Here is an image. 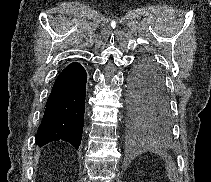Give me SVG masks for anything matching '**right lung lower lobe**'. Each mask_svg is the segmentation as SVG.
Listing matches in <instances>:
<instances>
[{"label":"right lung lower lobe","mask_w":211,"mask_h":182,"mask_svg":"<svg viewBox=\"0 0 211 182\" xmlns=\"http://www.w3.org/2000/svg\"><path fill=\"white\" fill-rule=\"evenodd\" d=\"M86 96V71L77 63L67 66L57 77L48 97L37 131L36 144L64 140L79 148L82 138Z\"/></svg>","instance_id":"right-lung-lower-lobe-1"}]
</instances>
